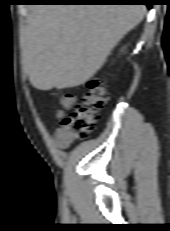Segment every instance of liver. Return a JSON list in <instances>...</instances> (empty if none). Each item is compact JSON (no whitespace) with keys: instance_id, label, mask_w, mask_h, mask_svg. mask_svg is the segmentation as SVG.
<instances>
[{"instance_id":"1","label":"liver","mask_w":170,"mask_h":231,"mask_svg":"<svg viewBox=\"0 0 170 231\" xmlns=\"http://www.w3.org/2000/svg\"><path fill=\"white\" fill-rule=\"evenodd\" d=\"M21 34L22 65L39 90L76 87L104 65L145 5H35Z\"/></svg>"}]
</instances>
